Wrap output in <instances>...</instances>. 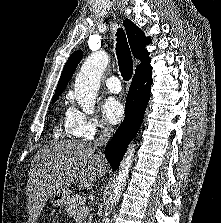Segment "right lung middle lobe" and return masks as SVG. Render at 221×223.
<instances>
[{
    "instance_id": "obj_1",
    "label": "right lung middle lobe",
    "mask_w": 221,
    "mask_h": 223,
    "mask_svg": "<svg viewBox=\"0 0 221 223\" xmlns=\"http://www.w3.org/2000/svg\"><path fill=\"white\" fill-rule=\"evenodd\" d=\"M58 98H54L52 101L55 102Z\"/></svg>"
}]
</instances>
